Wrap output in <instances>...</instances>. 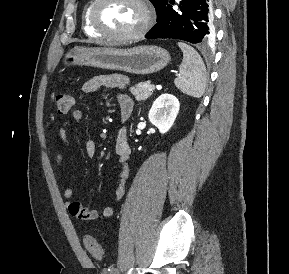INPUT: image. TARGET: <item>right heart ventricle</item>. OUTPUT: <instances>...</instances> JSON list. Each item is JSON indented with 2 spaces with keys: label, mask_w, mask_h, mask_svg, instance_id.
Returning a JSON list of instances; mask_svg holds the SVG:
<instances>
[{
  "label": "right heart ventricle",
  "mask_w": 289,
  "mask_h": 274,
  "mask_svg": "<svg viewBox=\"0 0 289 274\" xmlns=\"http://www.w3.org/2000/svg\"><path fill=\"white\" fill-rule=\"evenodd\" d=\"M92 3H93V0L90 1L84 8L83 16H82V27L86 35L91 36V37H100L101 35L93 29L89 20V12H90Z\"/></svg>",
  "instance_id": "1"
}]
</instances>
